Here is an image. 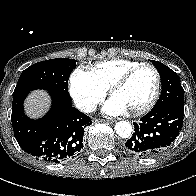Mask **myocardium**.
<instances>
[{
	"label": "myocardium",
	"instance_id": "1",
	"mask_svg": "<svg viewBox=\"0 0 196 196\" xmlns=\"http://www.w3.org/2000/svg\"><path fill=\"white\" fill-rule=\"evenodd\" d=\"M144 68H149L155 73V76H156L155 89H154V92H153L151 98L149 99V101L146 104H144L134 110H131V113L133 115H140V114L148 112L157 102L159 94H160V90H161V84H162V78H161V74H160L159 70L152 64L141 63L138 66H135L132 69H130L129 71H127L126 73H124L109 88V94L111 97H113V95L118 90L123 88L138 71H140Z\"/></svg>",
	"mask_w": 196,
	"mask_h": 196
}]
</instances>
